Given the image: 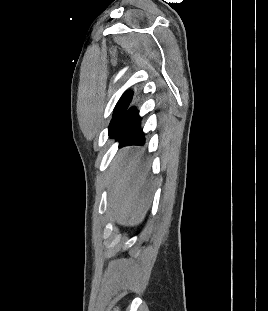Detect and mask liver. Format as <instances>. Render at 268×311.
<instances>
[{"mask_svg": "<svg viewBox=\"0 0 268 311\" xmlns=\"http://www.w3.org/2000/svg\"><path fill=\"white\" fill-rule=\"evenodd\" d=\"M124 148L116 156L109 176V203L114 220L127 227L139 225L150 206L148 169L140 152Z\"/></svg>", "mask_w": 268, "mask_h": 311, "instance_id": "1", "label": "liver"}]
</instances>
